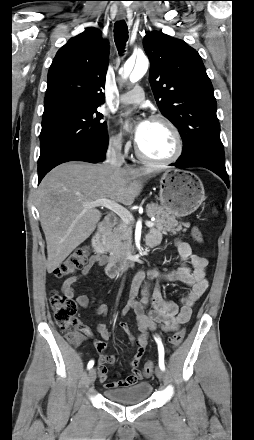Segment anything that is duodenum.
I'll use <instances>...</instances> for the list:
<instances>
[{"instance_id":"410a0bca","label":"duodenum","mask_w":254,"mask_h":440,"mask_svg":"<svg viewBox=\"0 0 254 440\" xmlns=\"http://www.w3.org/2000/svg\"><path fill=\"white\" fill-rule=\"evenodd\" d=\"M117 219L114 215L110 214L99 224L98 229L92 237V247L94 252L104 257L106 254V246L104 243L105 235L110 229L116 225ZM134 256L132 253H125L122 256H116L111 258L106 264V273L109 277H115L120 272L130 268L134 264Z\"/></svg>"}]
</instances>
